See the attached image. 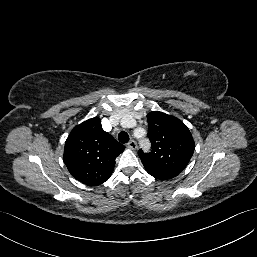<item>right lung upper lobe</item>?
Instances as JSON below:
<instances>
[{"instance_id": "1", "label": "right lung upper lobe", "mask_w": 257, "mask_h": 257, "mask_svg": "<svg viewBox=\"0 0 257 257\" xmlns=\"http://www.w3.org/2000/svg\"><path fill=\"white\" fill-rule=\"evenodd\" d=\"M124 149V145L102 129L100 118L94 117L70 132L63 159L74 178L95 186L110 178L115 159Z\"/></svg>"}]
</instances>
